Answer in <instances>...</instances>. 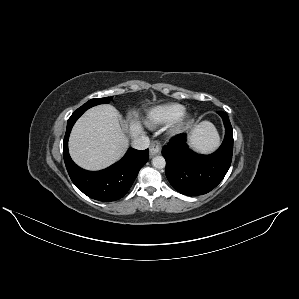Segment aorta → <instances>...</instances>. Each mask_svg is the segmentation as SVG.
Here are the masks:
<instances>
[{"mask_svg": "<svg viewBox=\"0 0 299 299\" xmlns=\"http://www.w3.org/2000/svg\"><path fill=\"white\" fill-rule=\"evenodd\" d=\"M152 165L155 167V168H158V169H161V168H164L165 165H166V161L164 159L163 156H155L153 159H152Z\"/></svg>", "mask_w": 299, "mask_h": 299, "instance_id": "1", "label": "aorta"}]
</instances>
